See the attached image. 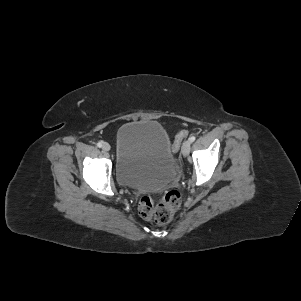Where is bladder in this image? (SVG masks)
<instances>
[{
    "label": "bladder",
    "instance_id": "1",
    "mask_svg": "<svg viewBox=\"0 0 301 301\" xmlns=\"http://www.w3.org/2000/svg\"><path fill=\"white\" fill-rule=\"evenodd\" d=\"M175 157L164 127L156 121H132L117 132V181L135 189L159 188L174 176Z\"/></svg>",
    "mask_w": 301,
    "mask_h": 301
}]
</instances>
